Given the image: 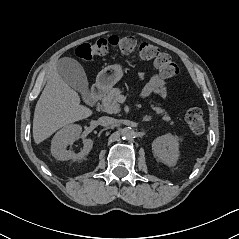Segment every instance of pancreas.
<instances>
[{
  "label": "pancreas",
  "instance_id": "cf45deb5",
  "mask_svg": "<svg viewBox=\"0 0 239 239\" xmlns=\"http://www.w3.org/2000/svg\"><path fill=\"white\" fill-rule=\"evenodd\" d=\"M122 91L119 88H113L110 92L102 99V110L109 114H116L120 112V104L118 103V97L121 95ZM152 103V101H150ZM152 109L156 114L162 116V119L173 125L174 122L171 120L168 112L162 109L160 105H152Z\"/></svg>",
  "mask_w": 239,
  "mask_h": 239
}]
</instances>
